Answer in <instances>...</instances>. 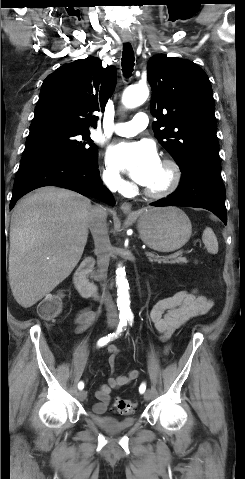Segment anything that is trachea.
Wrapping results in <instances>:
<instances>
[{"instance_id": "3493384b", "label": "trachea", "mask_w": 245, "mask_h": 479, "mask_svg": "<svg viewBox=\"0 0 245 479\" xmlns=\"http://www.w3.org/2000/svg\"><path fill=\"white\" fill-rule=\"evenodd\" d=\"M134 52L129 43H126L123 47L122 54V71L125 77H130L134 67Z\"/></svg>"}]
</instances>
